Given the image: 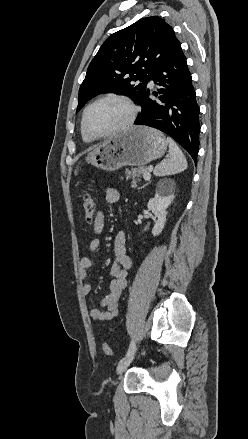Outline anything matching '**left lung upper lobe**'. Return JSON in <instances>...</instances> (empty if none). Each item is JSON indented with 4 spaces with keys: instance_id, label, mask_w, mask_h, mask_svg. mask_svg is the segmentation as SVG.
Listing matches in <instances>:
<instances>
[{
    "instance_id": "obj_1",
    "label": "left lung upper lobe",
    "mask_w": 248,
    "mask_h": 439,
    "mask_svg": "<svg viewBox=\"0 0 248 439\" xmlns=\"http://www.w3.org/2000/svg\"><path fill=\"white\" fill-rule=\"evenodd\" d=\"M177 41L172 27L158 16L112 34L89 64L77 111L103 93L129 96L141 104L151 76Z\"/></svg>"
}]
</instances>
